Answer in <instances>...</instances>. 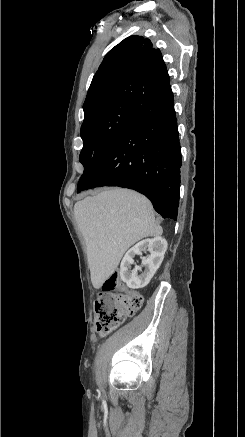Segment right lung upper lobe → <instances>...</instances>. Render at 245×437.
<instances>
[{
    "label": "right lung upper lobe",
    "instance_id": "cb5924a9",
    "mask_svg": "<svg viewBox=\"0 0 245 437\" xmlns=\"http://www.w3.org/2000/svg\"><path fill=\"white\" fill-rule=\"evenodd\" d=\"M172 94L161 51L149 39L130 36L104 57L90 84L83 105L84 116L93 109L115 102L141 106Z\"/></svg>",
    "mask_w": 245,
    "mask_h": 437
}]
</instances>
